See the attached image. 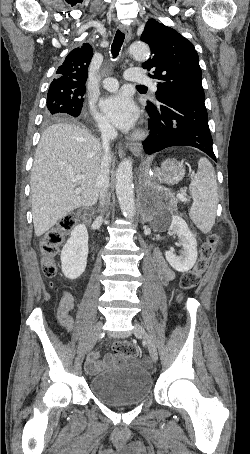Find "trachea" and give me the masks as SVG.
Returning a JSON list of instances; mask_svg holds the SVG:
<instances>
[{"mask_svg":"<svg viewBox=\"0 0 250 454\" xmlns=\"http://www.w3.org/2000/svg\"><path fill=\"white\" fill-rule=\"evenodd\" d=\"M124 39H125V34L123 32H121L120 30H117L113 43H112V46H111V53L114 58L117 57V55L119 54V51L122 47ZM137 87L146 89L145 86H141V85H138Z\"/></svg>","mask_w":250,"mask_h":454,"instance_id":"obj_1","label":"trachea"}]
</instances>
